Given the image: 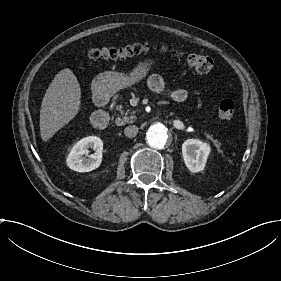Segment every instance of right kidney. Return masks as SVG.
Returning a JSON list of instances; mask_svg holds the SVG:
<instances>
[{
    "label": "right kidney",
    "instance_id": "1",
    "mask_svg": "<svg viewBox=\"0 0 281 281\" xmlns=\"http://www.w3.org/2000/svg\"><path fill=\"white\" fill-rule=\"evenodd\" d=\"M89 148L95 153L89 154ZM103 142L99 137L88 136L78 141L67 157V165L77 172H88L98 168L102 161ZM86 155L87 157H84Z\"/></svg>",
    "mask_w": 281,
    "mask_h": 281
}]
</instances>
